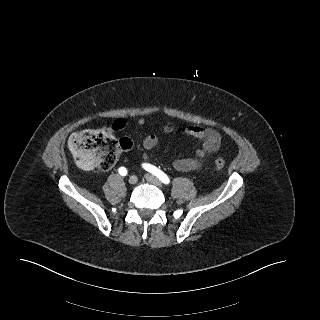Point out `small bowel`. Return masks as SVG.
<instances>
[{
  "label": "small bowel",
  "instance_id": "obj_1",
  "mask_svg": "<svg viewBox=\"0 0 320 320\" xmlns=\"http://www.w3.org/2000/svg\"><path fill=\"white\" fill-rule=\"evenodd\" d=\"M145 120L139 119L137 121V125L139 127L144 126ZM117 129H120L124 126V122L122 120H118L115 123ZM175 130L182 132L183 134L198 139L201 141V147L197 149L195 154L191 157L180 158L174 161L173 167L180 172H189V171H197L201 169L203 164L209 159L212 155L217 153L221 146V136L220 134L211 128H204L194 125H174V124H166L163 126V133H171ZM158 137L155 134H150L143 139V147L146 152L152 151L158 144ZM143 158L145 160L148 159V153H145Z\"/></svg>",
  "mask_w": 320,
  "mask_h": 320
}]
</instances>
